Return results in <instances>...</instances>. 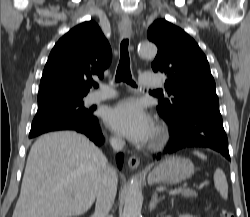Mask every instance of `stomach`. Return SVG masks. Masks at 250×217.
<instances>
[{
    "mask_svg": "<svg viewBox=\"0 0 250 217\" xmlns=\"http://www.w3.org/2000/svg\"><path fill=\"white\" fill-rule=\"evenodd\" d=\"M193 173L194 165L189 159L172 156L156 165L148 180L155 184H176L190 178Z\"/></svg>",
    "mask_w": 250,
    "mask_h": 217,
    "instance_id": "0dacf381",
    "label": "stomach"
}]
</instances>
